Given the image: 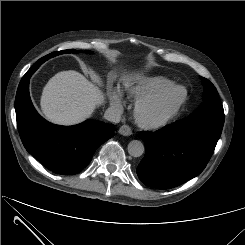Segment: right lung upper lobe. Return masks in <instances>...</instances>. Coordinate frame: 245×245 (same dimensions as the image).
Returning a JSON list of instances; mask_svg holds the SVG:
<instances>
[{
	"label": "right lung upper lobe",
	"instance_id": "cb5924a9",
	"mask_svg": "<svg viewBox=\"0 0 245 245\" xmlns=\"http://www.w3.org/2000/svg\"><path fill=\"white\" fill-rule=\"evenodd\" d=\"M40 65L36 62L29 70L28 74L32 75Z\"/></svg>",
	"mask_w": 245,
	"mask_h": 245
}]
</instances>
